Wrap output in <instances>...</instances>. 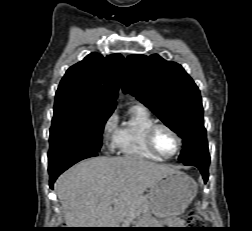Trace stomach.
Masks as SVG:
<instances>
[{
    "label": "stomach",
    "instance_id": "obj_1",
    "mask_svg": "<svg viewBox=\"0 0 252 231\" xmlns=\"http://www.w3.org/2000/svg\"><path fill=\"white\" fill-rule=\"evenodd\" d=\"M197 194L196 182L183 172H175L158 180L148 194L151 212L169 224L181 215ZM141 225V220L138 221ZM143 228V227H133Z\"/></svg>",
    "mask_w": 252,
    "mask_h": 231
}]
</instances>
